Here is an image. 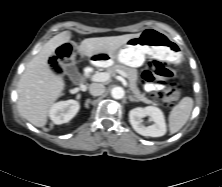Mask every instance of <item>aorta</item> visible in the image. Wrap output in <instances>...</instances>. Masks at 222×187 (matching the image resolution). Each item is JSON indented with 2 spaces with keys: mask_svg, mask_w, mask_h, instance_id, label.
<instances>
[{
  "mask_svg": "<svg viewBox=\"0 0 222 187\" xmlns=\"http://www.w3.org/2000/svg\"><path fill=\"white\" fill-rule=\"evenodd\" d=\"M124 95H125V91L122 87L117 86L111 90V96L114 99H122Z\"/></svg>",
  "mask_w": 222,
  "mask_h": 187,
  "instance_id": "762f6f07",
  "label": "aorta"
}]
</instances>
